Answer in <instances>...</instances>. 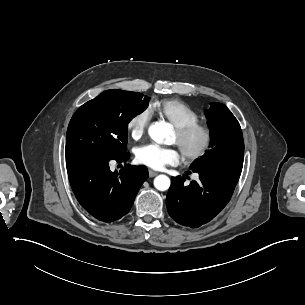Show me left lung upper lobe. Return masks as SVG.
Here are the masks:
<instances>
[{
	"label": "left lung upper lobe",
	"mask_w": 305,
	"mask_h": 305,
	"mask_svg": "<svg viewBox=\"0 0 305 305\" xmlns=\"http://www.w3.org/2000/svg\"><path fill=\"white\" fill-rule=\"evenodd\" d=\"M211 149L196 160L192 167L229 165L243 166L244 141L240 124L230 110L221 103H211L207 110Z\"/></svg>",
	"instance_id": "left-lung-upper-lobe-1"
}]
</instances>
